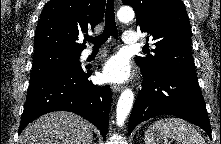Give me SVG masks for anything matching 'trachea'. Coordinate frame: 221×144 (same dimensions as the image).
Listing matches in <instances>:
<instances>
[{
	"label": "trachea",
	"instance_id": "obj_1",
	"mask_svg": "<svg viewBox=\"0 0 221 144\" xmlns=\"http://www.w3.org/2000/svg\"><path fill=\"white\" fill-rule=\"evenodd\" d=\"M112 36L118 38V31L115 22L114 14V0H107L106 13H105V27L103 32L96 37H86V40L92 42L94 47H100L108 38Z\"/></svg>",
	"mask_w": 221,
	"mask_h": 144
}]
</instances>
